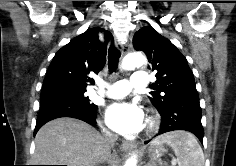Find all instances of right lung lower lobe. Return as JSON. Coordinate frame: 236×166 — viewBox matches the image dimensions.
Here are the masks:
<instances>
[{
	"label": "right lung lower lobe",
	"instance_id": "obj_1",
	"mask_svg": "<svg viewBox=\"0 0 236 166\" xmlns=\"http://www.w3.org/2000/svg\"><path fill=\"white\" fill-rule=\"evenodd\" d=\"M60 117H72L85 121L91 125L96 124V111L86 110L83 108H65L55 109L53 111H40L38 114L36 127L34 130V136L37 131L47 122L60 118Z\"/></svg>",
	"mask_w": 236,
	"mask_h": 166
}]
</instances>
